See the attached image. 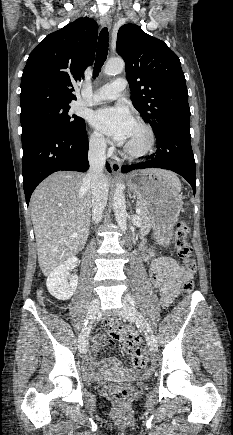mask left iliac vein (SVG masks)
<instances>
[{"label":"left iliac vein","instance_id":"1","mask_svg":"<svg viewBox=\"0 0 233 435\" xmlns=\"http://www.w3.org/2000/svg\"><path fill=\"white\" fill-rule=\"evenodd\" d=\"M120 314L125 320L138 323L141 326V328L146 334L147 342L150 350L152 352H155L157 350L156 339L154 335L147 330L146 321L142 316V314L138 311V309L135 306H133L131 303L124 302V306Z\"/></svg>","mask_w":233,"mask_h":435}]
</instances>
